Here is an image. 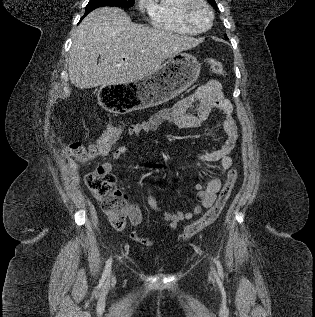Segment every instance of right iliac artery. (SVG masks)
<instances>
[{
  "label": "right iliac artery",
  "mask_w": 315,
  "mask_h": 317,
  "mask_svg": "<svg viewBox=\"0 0 315 317\" xmlns=\"http://www.w3.org/2000/svg\"><path fill=\"white\" fill-rule=\"evenodd\" d=\"M111 266H112V258L110 257L106 263L103 275H102V283L105 281V279L110 275L111 272Z\"/></svg>",
  "instance_id": "right-iliac-artery-1"
}]
</instances>
